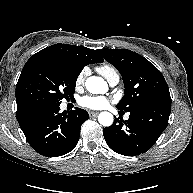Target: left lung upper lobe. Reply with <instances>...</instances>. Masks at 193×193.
<instances>
[{
	"label": "left lung upper lobe",
	"mask_w": 193,
	"mask_h": 193,
	"mask_svg": "<svg viewBox=\"0 0 193 193\" xmlns=\"http://www.w3.org/2000/svg\"><path fill=\"white\" fill-rule=\"evenodd\" d=\"M98 53L122 75L125 94L116 106L119 110L132 112L171 101L163 75L143 56L126 49H101Z\"/></svg>",
	"instance_id": "1"
}]
</instances>
